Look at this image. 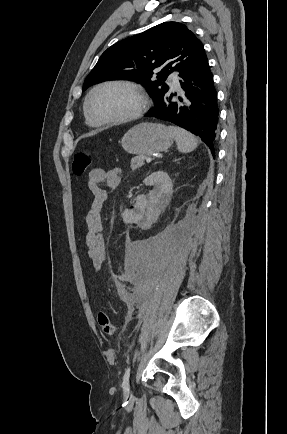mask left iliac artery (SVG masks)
Listing matches in <instances>:
<instances>
[{"label": "left iliac artery", "mask_w": 287, "mask_h": 434, "mask_svg": "<svg viewBox=\"0 0 287 434\" xmlns=\"http://www.w3.org/2000/svg\"><path fill=\"white\" fill-rule=\"evenodd\" d=\"M129 377H130V367H128L125 371L124 377H123V389L124 392L129 390Z\"/></svg>", "instance_id": "left-iliac-artery-1"}]
</instances>
